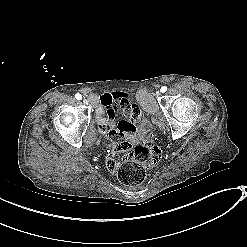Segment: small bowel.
I'll return each mask as SVG.
<instances>
[{
  "label": "small bowel",
  "instance_id": "small-bowel-1",
  "mask_svg": "<svg viewBox=\"0 0 247 247\" xmlns=\"http://www.w3.org/2000/svg\"><path fill=\"white\" fill-rule=\"evenodd\" d=\"M101 106L104 110L97 108L95 113L97 114V121L101 126H108L112 123L115 118L120 114L122 108L129 107L131 102L126 99V97L119 92L105 94L101 97L100 100ZM134 105V104H133ZM135 106V110L132 115L129 116V120H121L115 127L114 130L109 132L104 131L102 136L107 138L108 136L112 137V140L115 143H122L125 140V137L129 140L133 138L134 126L132 122H135L140 119L141 111L140 107ZM139 115L138 117H136ZM115 151H125V145H116ZM106 168L109 171H115L117 169L115 162V157L113 155H108L106 157Z\"/></svg>",
  "mask_w": 247,
  "mask_h": 247
}]
</instances>
